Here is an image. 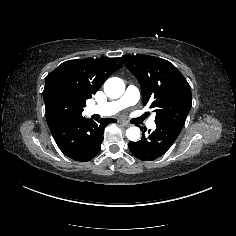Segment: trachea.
Masks as SVG:
<instances>
[{
	"instance_id": "3493384b",
	"label": "trachea",
	"mask_w": 236,
	"mask_h": 236,
	"mask_svg": "<svg viewBox=\"0 0 236 236\" xmlns=\"http://www.w3.org/2000/svg\"><path fill=\"white\" fill-rule=\"evenodd\" d=\"M149 116V113H145L144 115L141 116V118L145 119Z\"/></svg>"
}]
</instances>
